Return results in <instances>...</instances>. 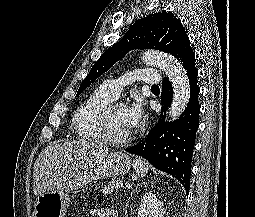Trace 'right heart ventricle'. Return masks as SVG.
<instances>
[{
	"label": "right heart ventricle",
	"instance_id": "obj_1",
	"mask_svg": "<svg viewBox=\"0 0 255 217\" xmlns=\"http://www.w3.org/2000/svg\"><path fill=\"white\" fill-rule=\"evenodd\" d=\"M113 99L101 85L77 107L71 125L78 137L94 141L104 140L98 126V114Z\"/></svg>",
	"mask_w": 255,
	"mask_h": 217
}]
</instances>
